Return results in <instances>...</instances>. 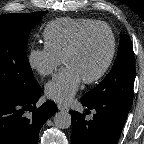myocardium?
I'll return each mask as SVG.
<instances>
[{
	"label": "myocardium",
	"mask_w": 144,
	"mask_h": 144,
	"mask_svg": "<svg viewBox=\"0 0 144 144\" xmlns=\"http://www.w3.org/2000/svg\"><path fill=\"white\" fill-rule=\"evenodd\" d=\"M99 28L106 29L110 35V39H111L110 52H109V55L103 65V67L99 70V72L97 74H95L94 76L84 80L85 83H87V84H93V83L99 81L100 79H102L105 76V74L107 73V71L109 70V68L114 60V57L116 54L117 41H116V36H115V33H114L112 27L105 22H97V23H94V24L84 27L75 36V38L73 39V41L71 42V44L69 45V47L67 48V50L63 56V60L66 61V59L78 49V47L82 43L85 36L89 32L99 29Z\"/></svg>",
	"instance_id": "f54148a6"
}]
</instances>
